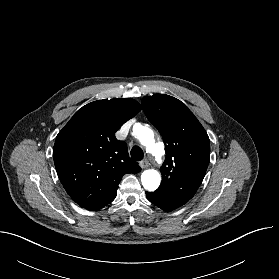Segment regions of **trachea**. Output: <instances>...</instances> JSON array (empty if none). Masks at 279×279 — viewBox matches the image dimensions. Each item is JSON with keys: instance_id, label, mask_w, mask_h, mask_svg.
<instances>
[{"instance_id": "trachea-1", "label": "trachea", "mask_w": 279, "mask_h": 279, "mask_svg": "<svg viewBox=\"0 0 279 279\" xmlns=\"http://www.w3.org/2000/svg\"><path fill=\"white\" fill-rule=\"evenodd\" d=\"M131 157L134 159V160H137V161H140L143 159V150L139 147V146H134L132 149H131Z\"/></svg>"}]
</instances>
